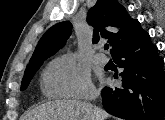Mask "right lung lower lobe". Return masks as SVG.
Masks as SVG:
<instances>
[{
    "label": "right lung lower lobe",
    "instance_id": "obj_1",
    "mask_svg": "<svg viewBox=\"0 0 165 120\" xmlns=\"http://www.w3.org/2000/svg\"><path fill=\"white\" fill-rule=\"evenodd\" d=\"M123 67L122 85L105 87L102 103L106 111L125 120H163L165 114L164 61L145 32L113 56Z\"/></svg>",
    "mask_w": 165,
    "mask_h": 120
}]
</instances>
